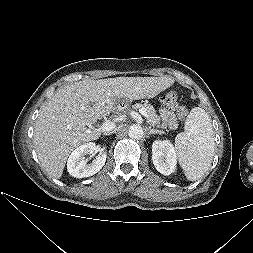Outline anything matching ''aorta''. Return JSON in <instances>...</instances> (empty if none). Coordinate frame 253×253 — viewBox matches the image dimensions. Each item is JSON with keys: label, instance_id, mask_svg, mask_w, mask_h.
<instances>
[{"label": "aorta", "instance_id": "obj_1", "mask_svg": "<svg viewBox=\"0 0 253 253\" xmlns=\"http://www.w3.org/2000/svg\"><path fill=\"white\" fill-rule=\"evenodd\" d=\"M128 135L130 138L135 140L141 139L144 135L143 128L140 125H132L129 128Z\"/></svg>", "mask_w": 253, "mask_h": 253}]
</instances>
